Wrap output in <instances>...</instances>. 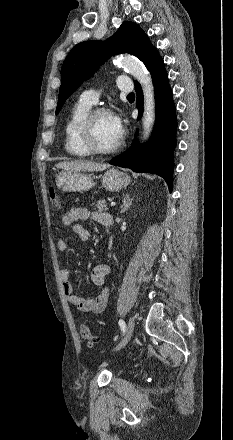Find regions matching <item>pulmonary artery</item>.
<instances>
[{
  "label": "pulmonary artery",
  "instance_id": "obj_1",
  "mask_svg": "<svg viewBox=\"0 0 233 440\" xmlns=\"http://www.w3.org/2000/svg\"><path fill=\"white\" fill-rule=\"evenodd\" d=\"M117 86L122 92H131L133 90L132 83L129 81L128 76L125 75L118 77ZM98 97L99 93L96 90H88L81 94L80 101L92 106L97 103Z\"/></svg>",
  "mask_w": 233,
  "mask_h": 440
}]
</instances>
